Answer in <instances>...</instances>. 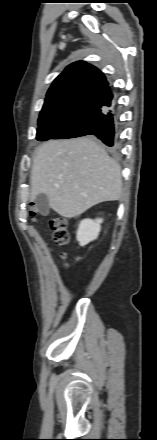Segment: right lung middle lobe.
<instances>
[{
	"instance_id": "right-lung-middle-lobe-1",
	"label": "right lung middle lobe",
	"mask_w": 157,
	"mask_h": 440,
	"mask_svg": "<svg viewBox=\"0 0 157 440\" xmlns=\"http://www.w3.org/2000/svg\"><path fill=\"white\" fill-rule=\"evenodd\" d=\"M37 139H67L93 135L87 125L78 120H48L38 122Z\"/></svg>"
}]
</instances>
